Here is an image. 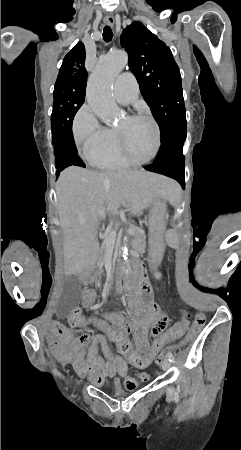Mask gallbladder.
Instances as JSON below:
<instances>
[{
  "label": "gallbladder",
  "instance_id": "obj_1",
  "mask_svg": "<svg viewBox=\"0 0 241 450\" xmlns=\"http://www.w3.org/2000/svg\"><path fill=\"white\" fill-rule=\"evenodd\" d=\"M81 282L78 276L66 278V286L63 288V296L58 304V319H64L66 315H72L73 310L79 309Z\"/></svg>",
  "mask_w": 241,
  "mask_h": 450
}]
</instances>
